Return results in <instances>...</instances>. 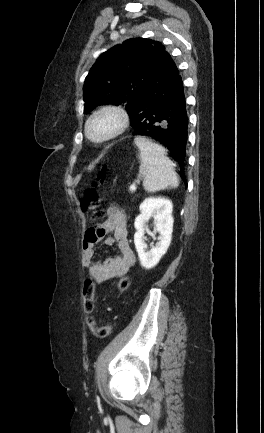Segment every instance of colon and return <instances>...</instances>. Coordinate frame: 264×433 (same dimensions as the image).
Returning a JSON list of instances; mask_svg holds the SVG:
<instances>
[{
	"label": "colon",
	"mask_w": 264,
	"mask_h": 433,
	"mask_svg": "<svg viewBox=\"0 0 264 433\" xmlns=\"http://www.w3.org/2000/svg\"><path fill=\"white\" fill-rule=\"evenodd\" d=\"M107 167L101 165L93 178L92 187L88 189L82 197L81 205L85 212L89 214L92 220H99L103 218L104 213L101 209V196L97 188L104 183ZM129 278L123 276L117 283L119 291H125L129 287ZM94 295H95V282L91 277L85 279L83 285V299H84V310L87 313V324L90 327L94 336L98 338H106L112 332L111 324H104L97 326L91 316L94 309Z\"/></svg>",
	"instance_id": "1"
}]
</instances>
